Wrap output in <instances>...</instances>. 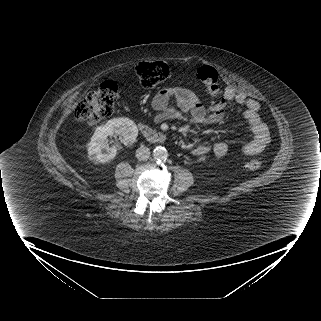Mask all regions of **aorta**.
Returning a JSON list of instances; mask_svg holds the SVG:
<instances>
[{
  "label": "aorta",
  "mask_w": 321,
  "mask_h": 321,
  "mask_svg": "<svg viewBox=\"0 0 321 321\" xmlns=\"http://www.w3.org/2000/svg\"><path fill=\"white\" fill-rule=\"evenodd\" d=\"M153 157H154V159L159 160V161L166 160L168 157V151L166 150L165 147L157 146L153 150Z\"/></svg>",
  "instance_id": "762f6f07"
}]
</instances>
